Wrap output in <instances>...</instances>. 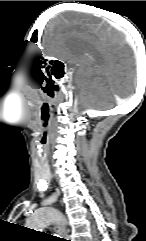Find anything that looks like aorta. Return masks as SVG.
I'll return each mask as SVG.
<instances>
[{"instance_id": "obj_1", "label": "aorta", "mask_w": 146, "mask_h": 241, "mask_svg": "<svg viewBox=\"0 0 146 241\" xmlns=\"http://www.w3.org/2000/svg\"><path fill=\"white\" fill-rule=\"evenodd\" d=\"M62 214L55 208L42 207L33 212L27 219L26 225L34 230H42L49 224L62 220Z\"/></svg>"}]
</instances>
